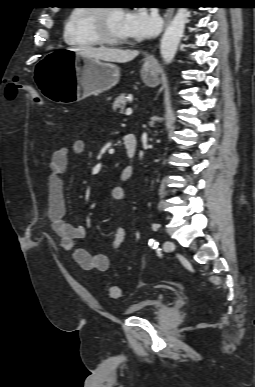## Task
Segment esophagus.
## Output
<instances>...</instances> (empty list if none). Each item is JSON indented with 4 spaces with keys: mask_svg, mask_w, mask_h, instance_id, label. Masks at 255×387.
Returning <instances> with one entry per match:
<instances>
[{
    "mask_svg": "<svg viewBox=\"0 0 255 387\" xmlns=\"http://www.w3.org/2000/svg\"><path fill=\"white\" fill-rule=\"evenodd\" d=\"M173 13H174V9H172V8H169V9L166 10L165 15H164V17H165V26H167L169 24V22H170V20H171V18L173 16ZM151 60H152V58L149 57V58H147L146 61L147 62H151Z\"/></svg>",
    "mask_w": 255,
    "mask_h": 387,
    "instance_id": "1",
    "label": "esophagus"
}]
</instances>
